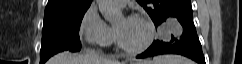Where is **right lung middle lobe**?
Segmentation results:
<instances>
[{
  "instance_id": "obj_1",
  "label": "right lung middle lobe",
  "mask_w": 242,
  "mask_h": 64,
  "mask_svg": "<svg viewBox=\"0 0 242 64\" xmlns=\"http://www.w3.org/2000/svg\"><path fill=\"white\" fill-rule=\"evenodd\" d=\"M86 11L44 16L40 64L62 51H80L79 29Z\"/></svg>"
}]
</instances>
